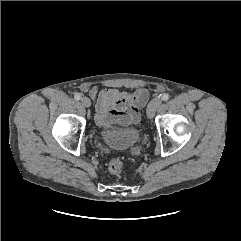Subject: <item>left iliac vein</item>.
I'll return each mask as SVG.
<instances>
[{"label": "left iliac vein", "instance_id": "1", "mask_svg": "<svg viewBox=\"0 0 241 241\" xmlns=\"http://www.w3.org/2000/svg\"><path fill=\"white\" fill-rule=\"evenodd\" d=\"M162 100L157 97L154 98L148 105L147 107V116L151 119L154 117L156 110L158 109V107L161 105Z\"/></svg>", "mask_w": 241, "mask_h": 241}]
</instances>
